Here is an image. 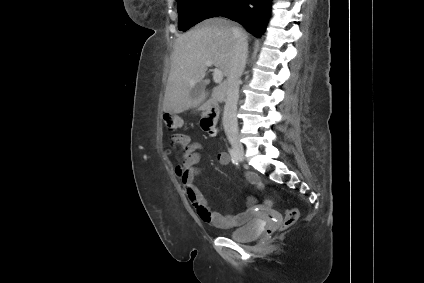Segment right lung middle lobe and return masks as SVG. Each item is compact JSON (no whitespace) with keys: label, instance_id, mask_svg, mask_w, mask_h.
Wrapping results in <instances>:
<instances>
[{"label":"right lung middle lobe","instance_id":"dd1d6c3e","mask_svg":"<svg viewBox=\"0 0 424 283\" xmlns=\"http://www.w3.org/2000/svg\"><path fill=\"white\" fill-rule=\"evenodd\" d=\"M235 0H177L178 29L186 31L195 24L217 17L231 8Z\"/></svg>","mask_w":424,"mask_h":283}]
</instances>
